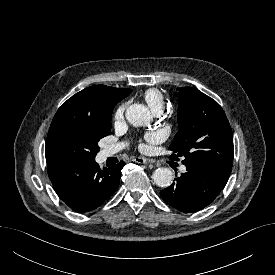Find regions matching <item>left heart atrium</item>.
Returning <instances> with one entry per match:
<instances>
[{
    "instance_id": "left-heart-atrium-1",
    "label": "left heart atrium",
    "mask_w": 275,
    "mask_h": 275,
    "mask_svg": "<svg viewBox=\"0 0 275 275\" xmlns=\"http://www.w3.org/2000/svg\"><path fill=\"white\" fill-rule=\"evenodd\" d=\"M155 136L153 134H150L149 135V138H154Z\"/></svg>"
}]
</instances>
